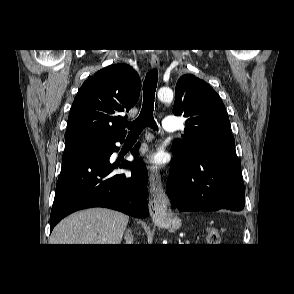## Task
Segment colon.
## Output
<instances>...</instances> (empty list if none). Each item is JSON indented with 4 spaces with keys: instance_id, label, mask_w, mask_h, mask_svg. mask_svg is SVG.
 I'll list each match as a JSON object with an SVG mask.
<instances>
[{
    "instance_id": "obj_1",
    "label": "colon",
    "mask_w": 294,
    "mask_h": 294,
    "mask_svg": "<svg viewBox=\"0 0 294 294\" xmlns=\"http://www.w3.org/2000/svg\"><path fill=\"white\" fill-rule=\"evenodd\" d=\"M220 232L216 227H209L206 231L205 241L209 246H216L219 242Z\"/></svg>"
}]
</instances>
